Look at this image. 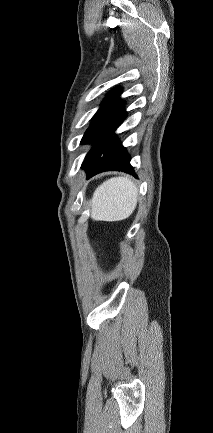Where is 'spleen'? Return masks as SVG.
<instances>
[{
	"label": "spleen",
	"mask_w": 213,
	"mask_h": 433,
	"mask_svg": "<svg viewBox=\"0 0 213 433\" xmlns=\"http://www.w3.org/2000/svg\"><path fill=\"white\" fill-rule=\"evenodd\" d=\"M138 189L128 177H115L98 186L91 200V218L96 221H120L136 208Z\"/></svg>",
	"instance_id": "spleen-1"
}]
</instances>
